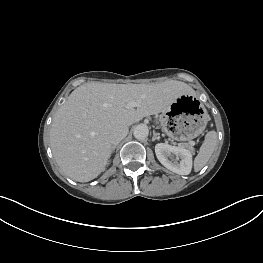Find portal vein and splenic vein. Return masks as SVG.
<instances>
[{
  "instance_id": "portal-vein-and-splenic-vein-1",
  "label": "portal vein and splenic vein",
  "mask_w": 263,
  "mask_h": 263,
  "mask_svg": "<svg viewBox=\"0 0 263 263\" xmlns=\"http://www.w3.org/2000/svg\"><path fill=\"white\" fill-rule=\"evenodd\" d=\"M136 106H137V103L134 102V101L129 102L128 105H127L128 108H133V107H136ZM189 144L190 145H194V142L193 141H189Z\"/></svg>"
}]
</instances>
